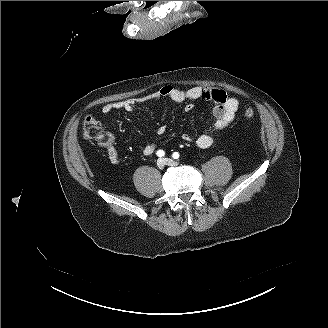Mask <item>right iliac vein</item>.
Instances as JSON below:
<instances>
[{
	"mask_svg": "<svg viewBox=\"0 0 328 328\" xmlns=\"http://www.w3.org/2000/svg\"><path fill=\"white\" fill-rule=\"evenodd\" d=\"M157 166L160 168V169H163L165 167V162L163 159H158L157 161Z\"/></svg>",
	"mask_w": 328,
	"mask_h": 328,
	"instance_id": "63e3f726",
	"label": "right iliac vein"
}]
</instances>
